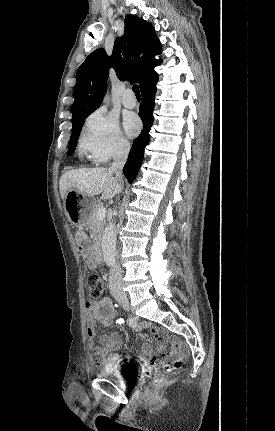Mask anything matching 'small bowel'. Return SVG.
Masks as SVG:
<instances>
[{
    "label": "small bowel",
    "instance_id": "1",
    "mask_svg": "<svg viewBox=\"0 0 275 431\" xmlns=\"http://www.w3.org/2000/svg\"><path fill=\"white\" fill-rule=\"evenodd\" d=\"M76 242L81 254L87 258L90 257L91 245L88 237L84 233H77ZM85 309L87 342L92 352L94 362L97 365H106L120 361L121 355L119 350L121 349V341L117 334H103L100 336L99 344H95L97 324L100 323L104 326H109L113 322L115 309L111 299L109 297H104L99 301L87 302ZM136 327L139 330L150 331L160 343L162 342L163 337L161 333L157 329L152 328L149 322L139 323ZM170 345L172 347L170 353L163 355L161 358L154 357L152 362L159 363L168 368L173 358L180 355L178 341L172 339ZM152 349L150 343H145L140 355V360L147 363L148 358L152 355Z\"/></svg>",
    "mask_w": 275,
    "mask_h": 431
}]
</instances>
